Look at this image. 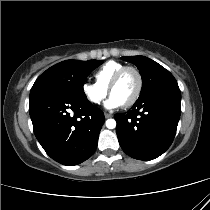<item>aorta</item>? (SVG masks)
<instances>
[{"label": "aorta", "instance_id": "obj_1", "mask_svg": "<svg viewBox=\"0 0 210 210\" xmlns=\"http://www.w3.org/2000/svg\"><path fill=\"white\" fill-rule=\"evenodd\" d=\"M106 127L108 129H114L116 127V121L114 119H108L106 121Z\"/></svg>", "mask_w": 210, "mask_h": 210}]
</instances>
